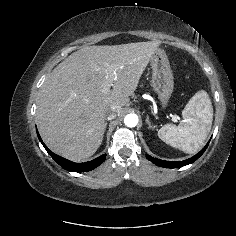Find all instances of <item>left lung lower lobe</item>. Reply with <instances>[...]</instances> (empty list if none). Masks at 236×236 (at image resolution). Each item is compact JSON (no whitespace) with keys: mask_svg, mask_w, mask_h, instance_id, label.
<instances>
[{"mask_svg":"<svg viewBox=\"0 0 236 236\" xmlns=\"http://www.w3.org/2000/svg\"><path fill=\"white\" fill-rule=\"evenodd\" d=\"M209 142L206 144V146L199 152L197 153L195 156L184 160V161H164V160H160V159H155L149 155H146V158L148 160H150L151 162H153L154 164L164 167V168H178V167H183L185 165L191 164L193 162H195L206 150V148L208 147Z\"/></svg>","mask_w":236,"mask_h":236,"instance_id":"obj_1","label":"left lung lower lobe"}]
</instances>
